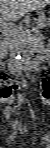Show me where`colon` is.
I'll return each instance as SVG.
<instances>
[{
	"label": "colon",
	"instance_id": "5ec220e1",
	"mask_svg": "<svg viewBox=\"0 0 50 148\" xmlns=\"http://www.w3.org/2000/svg\"><path fill=\"white\" fill-rule=\"evenodd\" d=\"M2 86L0 88V97L2 99L11 98L17 90V86L11 81L7 74H1ZM39 88L41 89V98L46 99L50 97V81L48 77H44L39 82Z\"/></svg>",
	"mask_w": 50,
	"mask_h": 148
}]
</instances>
